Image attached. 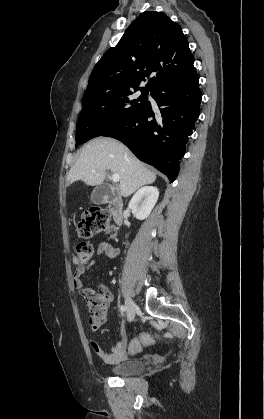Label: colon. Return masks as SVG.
<instances>
[{"label":"colon","instance_id":"obj_1","mask_svg":"<svg viewBox=\"0 0 264 419\" xmlns=\"http://www.w3.org/2000/svg\"><path fill=\"white\" fill-rule=\"evenodd\" d=\"M77 231L82 238H89L95 234L106 232L109 237L116 236V230L105 209L94 208L82 215L77 224ZM93 259V247L87 241H80L76 244L73 253V261L81 266L89 265ZM88 307L95 309L97 303L87 300ZM156 337L150 333H142L134 338L130 345L133 351L138 352L155 341Z\"/></svg>","mask_w":264,"mask_h":419}]
</instances>
